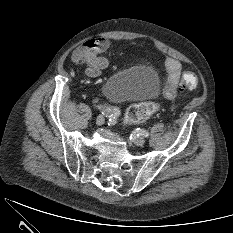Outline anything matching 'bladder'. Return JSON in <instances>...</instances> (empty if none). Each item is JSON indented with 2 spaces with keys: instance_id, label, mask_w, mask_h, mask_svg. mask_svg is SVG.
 <instances>
[{
  "instance_id": "31cf9c89",
  "label": "bladder",
  "mask_w": 233,
  "mask_h": 233,
  "mask_svg": "<svg viewBox=\"0 0 233 233\" xmlns=\"http://www.w3.org/2000/svg\"><path fill=\"white\" fill-rule=\"evenodd\" d=\"M160 79L147 64H135L111 75L103 84V94L113 102L150 99L157 95Z\"/></svg>"
}]
</instances>
